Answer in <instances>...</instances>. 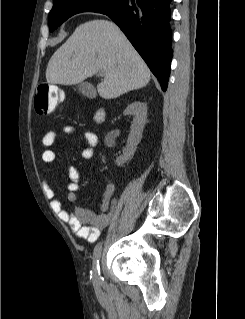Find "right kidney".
Returning a JSON list of instances; mask_svg holds the SVG:
<instances>
[{"label":"right kidney","instance_id":"right-kidney-1","mask_svg":"<svg viewBox=\"0 0 245 319\" xmlns=\"http://www.w3.org/2000/svg\"><path fill=\"white\" fill-rule=\"evenodd\" d=\"M124 115H133L134 119L130 127L131 131L128 137L127 146L123 150V155L116 159L118 166H123L124 163L133 157L137 145L142 139L143 129L147 122V104L135 101L128 105L124 111Z\"/></svg>","mask_w":245,"mask_h":319}]
</instances>
